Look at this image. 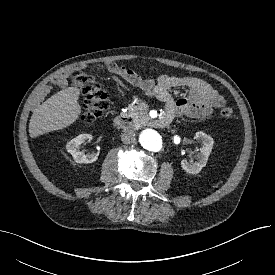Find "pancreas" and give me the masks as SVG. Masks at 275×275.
I'll use <instances>...</instances> for the list:
<instances>
[{"instance_id":"1","label":"pancreas","mask_w":275,"mask_h":275,"mask_svg":"<svg viewBox=\"0 0 275 275\" xmlns=\"http://www.w3.org/2000/svg\"><path fill=\"white\" fill-rule=\"evenodd\" d=\"M147 110L146 106L134 105L129 107L125 113L126 117H131L136 124H143L147 120Z\"/></svg>"}]
</instances>
